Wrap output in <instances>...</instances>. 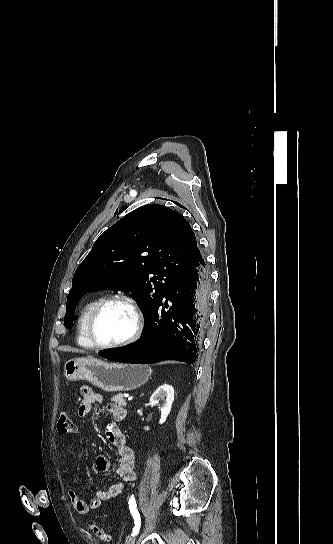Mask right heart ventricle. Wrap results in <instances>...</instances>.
Here are the masks:
<instances>
[{"mask_svg":"<svg viewBox=\"0 0 333 544\" xmlns=\"http://www.w3.org/2000/svg\"><path fill=\"white\" fill-rule=\"evenodd\" d=\"M99 301H100V297H95L90 299L88 302L84 304V306L81 308L80 313L78 315L77 323H76V340H77V344L83 348H87V349L94 348L87 337L86 324L92 309L95 307V305Z\"/></svg>","mask_w":333,"mask_h":544,"instance_id":"right-heart-ventricle-1","label":"right heart ventricle"}]
</instances>
